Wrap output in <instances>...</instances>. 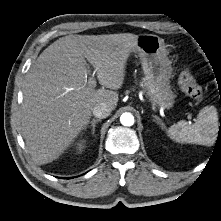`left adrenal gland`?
I'll return each mask as SVG.
<instances>
[{
  "instance_id": "left-adrenal-gland-1",
  "label": "left adrenal gland",
  "mask_w": 221,
  "mask_h": 221,
  "mask_svg": "<svg viewBox=\"0 0 221 221\" xmlns=\"http://www.w3.org/2000/svg\"><path fill=\"white\" fill-rule=\"evenodd\" d=\"M153 121L156 122V123L159 124V125H162V124H163L162 120H161L158 116H154Z\"/></svg>"
}]
</instances>
